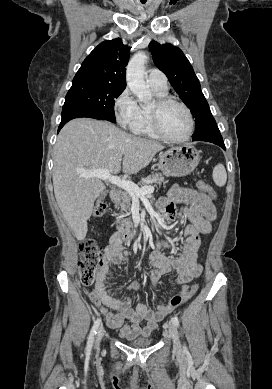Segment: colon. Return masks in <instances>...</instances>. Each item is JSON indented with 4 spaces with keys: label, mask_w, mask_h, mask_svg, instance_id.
<instances>
[{
    "label": "colon",
    "mask_w": 272,
    "mask_h": 389,
    "mask_svg": "<svg viewBox=\"0 0 272 389\" xmlns=\"http://www.w3.org/2000/svg\"><path fill=\"white\" fill-rule=\"evenodd\" d=\"M198 187L209 198L214 196V192L207 182L200 180L198 182ZM106 211L107 204L101 201L96 204L94 209V215L95 217L100 218L106 213ZM103 261L104 260L101 247L97 244L95 240L85 239L81 242L78 271L82 285L91 286L94 283L97 272L104 263ZM195 290L196 287L193 286L189 290L174 295L170 299L168 306L172 309L178 307L179 305L190 299L195 293Z\"/></svg>",
    "instance_id": "colon-1"
}]
</instances>
